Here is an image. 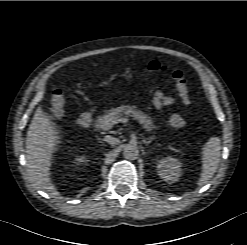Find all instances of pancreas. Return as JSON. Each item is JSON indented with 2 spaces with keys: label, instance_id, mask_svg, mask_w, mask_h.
Wrapping results in <instances>:
<instances>
[{
  "label": "pancreas",
  "instance_id": "pancreas-1",
  "mask_svg": "<svg viewBox=\"0 0 247 245\" xmlns=\"http://www.w3.org/2000/svg\"><path fill=\"white\" fill-rule=\"evenodd\" d=\"M123 115L134 117L148 132L158 128L153 123L151 117H149L143 111L139 110L136 106L130 105H121L120 107L111 108L105 111L103 115L97 117L96 126L98 128H102L106 120H112L119 123V119L123 118Z\"/></svg>",
  "mask_w": 247,
  "mask_h": 245
}]
</instances>
